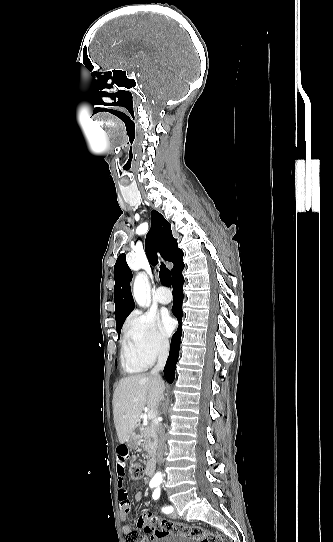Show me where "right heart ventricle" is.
Returning a JSON list of instances; mask_svg holds the SVG:
<instances>
[{
  "label": "right heart ventricle",
  "mask_w": 333,
  "mask_h": 542,
  "mask_svg": "<svg viewBox=\"0 0 333 542\" xmlns=\"http://www.w3.org/2000/svg\"><path fill=\"white\" fill-rule=\"evenodd\" d=\"M121 358L125 370L131 373L145 371L153 363L152 357L126 340L122 343Z\"/></svg>",
  "instance_id": "right-heart-ventricle-1"
}]
</instances>
